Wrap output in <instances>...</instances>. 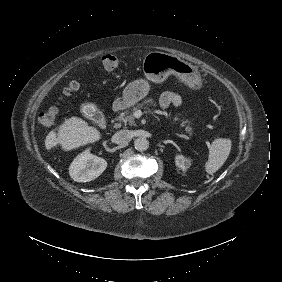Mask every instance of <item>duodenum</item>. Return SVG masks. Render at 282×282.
Instances as JSON below:
<instances>
[{
    "instance_id": "obj_1",
    "label": "duodenum",
    "mask_w": 282,
    "mask_h": 282,
    "mask_svg": "<svg viewBox=\"0 0 282 282\" xmlns=\"http://www.w3.org/2000/svg\"><path fill=\"white\" fill-rule=\"evenodd\" d=\"M125 106L124 102L123 101H116L113 103L112 105V114H116L117 112H119L121 109H123Z\"/></svg>"
}]
</instances>
